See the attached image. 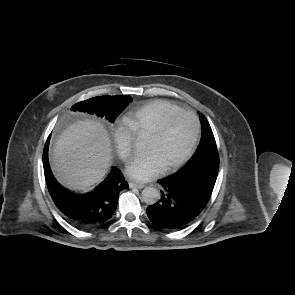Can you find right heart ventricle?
I'll list each match as a JSON object with an SVG mask.
<instances>
[{"label": "right heart ventricle", "instance_id": "obj_1", "mask_svg": "<svg viewBox=\"0 0 295 295\" xmlns=\"http://www.w3.org/2000/svg\"><path fill=\"white\" fill-rule=\"evenodd\" d=\"M178 110L181 108L172 102L154 100L128 112L123 122L134 136H148L167 115Z\"/></svg>", "mask_w": 295, "mask_h": 295}]
</instances>
